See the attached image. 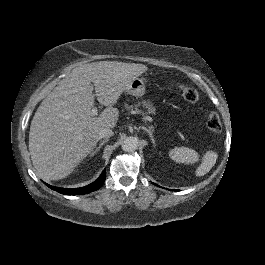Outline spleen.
<instances>
[{
  "label": "spleen",
  "instance_id": "obj_1",
  "mask_svg": "<svg viewBox=\"0 0 265 265\" xmlns=\"http://www.w3.org/2000/svg\"><path fill=\"white\" fill-rule=\"evenodd\" d=\"M169 156L177 163H195L198 161V153L187 147H175L169 151ZM218 158L217 153L208 151L203 157L202 163L196 170L197 176H204L215 165Z\"/></svg>",
  "mask_w": 265,
  "mask_h": 265
}]
</instances>
